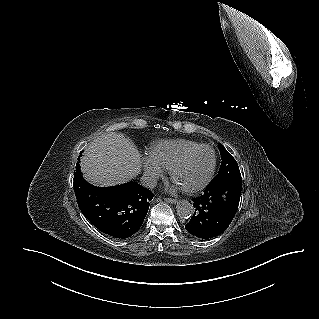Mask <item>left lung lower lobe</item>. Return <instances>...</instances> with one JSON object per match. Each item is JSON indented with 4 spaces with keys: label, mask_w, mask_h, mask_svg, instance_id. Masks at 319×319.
Here are the masks:
<instances>
[{
    "label": "left lung lower lobe",
    "mask_w": 319,
    "mask_h": 319,
    "mask_svg": "<svg viewBox=\"0 0 319 319\" xmlns=\"http://www.w3.org/2000/svg\"><path fill=\"white\" fill-rule=\"evenodd\" d=\"M242 178L230 177L215 185H208L204 193L195 198V212L186 230L202 239L216 237L231 223L241 196Z\"/></svg>",
    "instance_id": "0a47b994"
}]
</instances>
